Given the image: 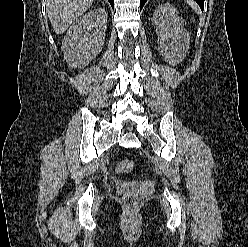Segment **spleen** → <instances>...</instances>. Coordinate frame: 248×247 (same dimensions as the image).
Here are the masks:
<instances>
[{
	"instance_id": "obj_1",
	"label": "spleen",
	"mask_w": 248,
	"mask_h": 247,
	"mask_svg": "<svg viewBox=\"0 0 248 247\" xmlns=\"http://www.w3.org/2000/svg\"><path fill=\"white\" fill-rule=\"evenodd\" d=\"M189 5L192 7L193 10L197 11L198 10V7L197 5L193 2V0H186Z\"/></svg>"
}]
</instances>
